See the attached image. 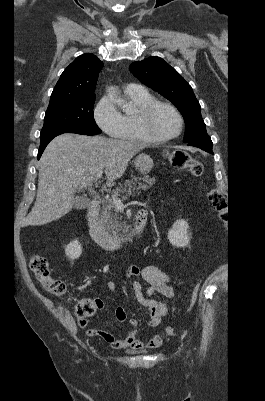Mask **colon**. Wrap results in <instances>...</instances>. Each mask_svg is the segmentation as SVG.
Wrapping results in <instances>:
<instances>
[{"instance_id": "obj_1", "label": "colon", "mask_w": 265, "mask_h": 401, "mask_svg": "<svg viewBox=\"0 0 265 401\" xmlns=\"http://www.w3.org/2000/svg\"><path fill=\"white\" fill-rule=\"evenodd\" d=\"M166 157L171 165L177 169H188L194 177H200L203 173V165L194 160L187 152L182 150L169 151ZM208 199L213 208L221 218H225L229 213V206L225 196L217 189H211L208 193ZM31 269L36 278L42 283L44 289L55 296H62L66 291V285L63 281L54 278L51 275L48 261L41 255H35L31 260ZM199 281L193 288L191 301L188 310L190 311L197 300L200 288ZM101 307V302L98 299L83 298L75 305L74 313L80 321H85L92 316L97 309ZM165 333L171 335L174 333V328L167 327Z\"/></svg>"}]
</instances>
